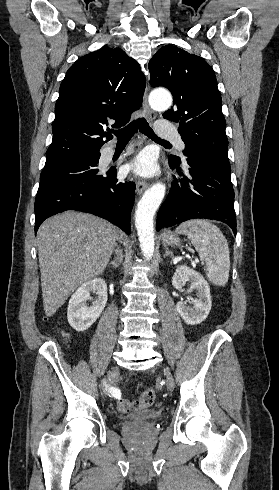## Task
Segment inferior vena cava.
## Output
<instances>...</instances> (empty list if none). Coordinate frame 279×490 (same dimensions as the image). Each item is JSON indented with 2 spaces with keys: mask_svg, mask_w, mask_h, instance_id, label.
Listing matches in <instances>:
<instances>
[{
  "mask_svg": "<svg viewBox=\"0 0 279 490\" xmlns=\"http://www.w3.org/2000/svg\"><path fill=\"white\" fill-rule=\"evenodd\" d=\"M119 252H121V250H115V254H117V256H119Z\"/></svg>",
  "mask_w": 279,
  "mask_h": 490,
  "instance_id": "inferior-vena-cava-1",
  "label": "inferior vena cava"
}]
</instances>
